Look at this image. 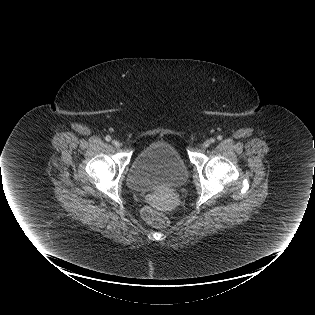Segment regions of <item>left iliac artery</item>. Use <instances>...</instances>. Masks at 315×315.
<instances>
[{"instance_id": "44dca946", "label": "left iliac artery", "mask_w": 315, "mask_h": 315, "mask_svg": "<svg viewBox=\"0 0 315 315\" xmlns=\"http://www.w3.org/2000/svg\"><path fill=\"white\" fill-rule=\"evenodd\" d=\"M217 139H218V140H221V139H222V136H221V135H219V136L217 137Z\"/></svg>"}]
</instances>
